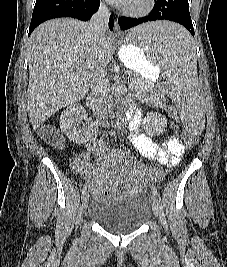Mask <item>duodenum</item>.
Segmentation results:
<instances>
[{
	"instance_id": "410a0bca",
	"label": "duodenum",
	"mask_w": 227,
	"mask_h": 267,
	"mask_svg": "<svg viewBox=\"0 0 227 267\" xmlns=\"http://www.w3.org/2000/svg\"><path fill=\"white\" fill-rule=\"evenodd\" d=\"M87 104L95 113H99L100 112L99 107H98V105H97V103H96V101H95L93 96H89L87 98Z\"/></svg>"
}]
</instances>
